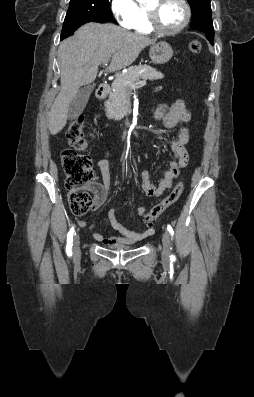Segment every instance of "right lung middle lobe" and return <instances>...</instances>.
<instances>
[{"label":"right lung middle lobe","mask_w":254,"mask_h":397,"mask_svg":"<svg viewBox=\"0 0 254 397\" xmlns=\"http://www.w3.org/2000/svg\"><path fill=\"white\" fill-rule=\"evenodd\" d=\"M77 18L96 22L110 21V0H70L65 20Z\"/></svg>","instance_id":"right-lung-middle-lobe-1"}]
</instances>
